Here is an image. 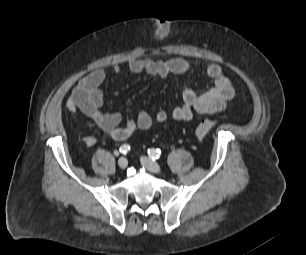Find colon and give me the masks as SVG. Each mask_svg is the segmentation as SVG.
<instances>
[{
  "label": "colon",
  "instance_id": "colon-1",
  "mask_svg": "<svg viewBox=\"0 0 306 255\" xmlns=\"http://www.w3.org/2000/svg\"><path fill=\"white\" fill-rule=\"evenodd\" d=\"M216 123L209 119H202L196 126V136L198 139L205 138L208 133L215 127Z\"/></svg>",
  "mask_w": 306,
  "mask_h": 255
}]
</instances>
